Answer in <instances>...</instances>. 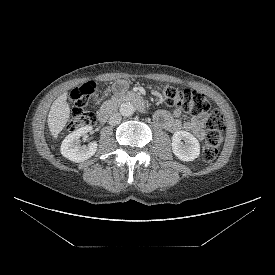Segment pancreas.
Masks as SVG:
<instances>
[{"label":"pancreas","mask_w":275,"mask_h":275,"mask_svg":"<svg viewBox=\"0 0 275 275\" xmlns=\"http://www.w3.org/2000/svg\"><path fill=\"white\" fill-rule=\"evenodd\" d=\"M112 99H116V96H113Z\"/></svg>","instance_id":"1"}]
</instances>
